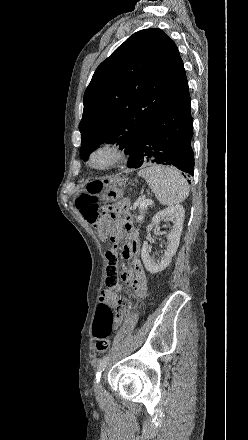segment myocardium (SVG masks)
I'll list each match as a JSON object with an SVG mask.
<instances>
[{
    "instance_id": "myocardium-1",
    "label": "myocardium",
    "mask_w": 248,
    "mask_h": 440,
    "mask_svg": "<svg viewBox=\"0 0 248 440\" xmlns=\"http://www.w3.org/2000/svg\"><path fill=\"white\" fill-rule=\"evenodd\" d=\"M102 157L101 161H96ZM126 157L124 148L114 141H103L94 145L86 159L88 167L97 172H105L114 169L121 164Z\"/></svg>"
}]
</instances>
